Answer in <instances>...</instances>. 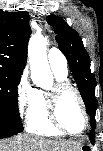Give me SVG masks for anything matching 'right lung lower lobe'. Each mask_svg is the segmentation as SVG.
Wrapping results in <instances>:
<instances>
[{
    "instance_id": "right-lung-lower-lobe-1",
    "label": "right lung lower lobe",
    "mask_w": 103,
    "mask_h": 151,
    "mask_svg": "<svg viewBox=\"0 0 103 151\" xmlns=\"http://www.w3.org/2000/svg\"><path fill=\"white\" fill-rule=\"evenodd\" d=\"M16 134H17V132H12V131L5 130L4 132H0V139L6 138V137H9V136H13V135H16Z\"/></svg>"
}]
</instances>
